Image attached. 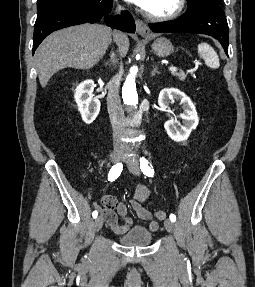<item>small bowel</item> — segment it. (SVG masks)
I'll use <instances>...</instances> for the list:
<instances>
[{"label": "small bowel", "mask_w": 255, "mask_h": 287, "mask_svg": "<svg viewBox=\"0 0 255 287\" xmlns=\"http://www.w3.org/2000/svg\"><path fill=\"white\" fill-rule=\"evenodd\" d=\"M149 196V189L144 185H138L135 189L133 199L129 201V206L138 218L148 222L149 230L156 231L158 229V222L153 218L151 211L142 205ZM100 211L113 234L117 236L126 233L132 225V221L127 213L128 204L118 201L114 196L106 195L102 198V208ZM119 218H121L122 223L119 222Z\"/></svg>", "instance_id": "c3829d8e"}]
</instances>
